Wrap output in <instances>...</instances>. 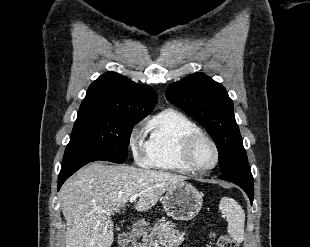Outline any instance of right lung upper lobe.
Segmentation results:
<instances>
[{
    "mask_svg": "<svg viewBox=\"0 0 310 247\" xmlns=\"http://www.w3.org/2000/svg\"><path fill=\"white\" fill-rule=\"evenodd\" d=\"M157 93L147 85L107 72L89 87L78 113H110L145 117L156 105Z\"/></svg>",
    "mask_w": 310,
    "mask_h": 247,
    "instance_id": "right-lung-upper-lobe-1",
    "label": "right lung upper lobe"
}]
</instances>
